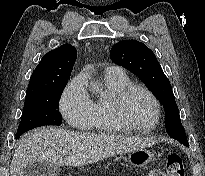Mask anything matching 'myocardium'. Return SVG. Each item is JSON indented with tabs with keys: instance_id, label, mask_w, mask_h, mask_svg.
<instances>
[{
	"instance_id": "f54148a6",
	"label": "myocardium",
	"mask_w": 205,
	"mask_h": 176,
	"mask_svg": "<svg viewBox=\"0 0 205 176\" xmlns=\"http://www.w3.org/2000/svg\"><path fill=\"white\" fill-rule=\"evenodd\" d=\"M136 91H141L145 93L153 104L154 118L152 122L148 124L135 123L128 116L127 101L131 97V95ZM114 110H115V115L117 119L120 121V123L126 129H131V130H147L153 128L159 124L161 119V108L157 97L148 87L141 84H130L127 87H125L123 90H121L115 97Z\"/></svg>"
}]
</instances>
